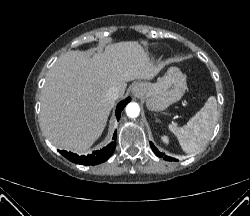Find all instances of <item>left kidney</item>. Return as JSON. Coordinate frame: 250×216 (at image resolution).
Instances as JSON below:
<instances>
[{"label":"left kidney","instance_id":"left-kidney-1","mask_svg":"<svg viewBox=\"0 0 250 216\" xmlns=\"http://www.w3.org/2000/svg\"><path fill=\"white\" fill-rule=\"evenodd\" d=\"M161 139H162V141H163L164 143H166V144L169 143V138H168V136L163 135V136L161 137Z\"/></svg>","mask_w":250,"mask_h":216}]
</instances>
